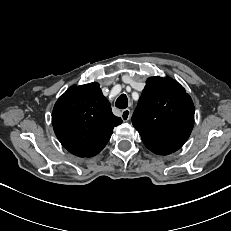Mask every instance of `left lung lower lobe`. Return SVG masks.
<instances>
[{
  "instance_id": "1",
  "label": "left lung lower lobe",
  "mask_w": 231,
  "mask_h": 231,
  "mask_svg": "<svg viewBox=\"0 0 231 231\" xmlns=\"http://www.w3.org/2000/svg\"><path fill=\"white\" fill-rule=\"evenodd\" d=\"M150 151L154 152L155 154H158V155H167V154H170L168 152H165V151H162V150H159L157 148H153V147H147Z\"/></svg>"
}]
</instances>
